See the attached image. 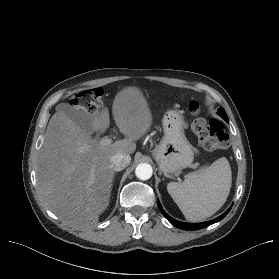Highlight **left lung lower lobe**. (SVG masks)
<instances>
[{
  "instance_id": "1",
  "label": "left lung lower lobe",
  "mask_w": 279,
  "mask_h": 279,
  "mask_svg": "<svg viewBox=\"0 0 279 279\" xmlns=\"http://www.w3.org/2000/svg\"><path fill=\"white\" fill-rule=\"evenodd\" d=\"M159 208L162 211L163 215L166 217V219H168L174 226H176L177 228L183 229V230H198L201 228H205L211 224H214L215 222L220 221L221 219H223L228 212L230 211L231 207L228 209L227 212H225L224 214H222L221 216L217 217L214 220L211 221H207L204 223H183V222H179L176 221L175 219H173L172 217H170L161 207V205L159 204Z\"/></svg>"
}]
</instances>
